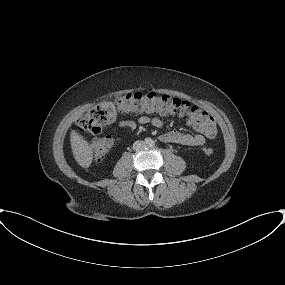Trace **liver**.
I'll list each match as a JSON object with an SVG mask.
<instances>
[{
    "instance_id": "6515ba94",
    "label": "liver",
    "mask_w": 285,
    "mask_h": 285,
    "mask_svg": "<svg viewBox=\"0 0 285 285\" xmlns=\"http://www.w3.org/2000/svg\"><path fill=\"white\" fill-rule=\"evenodd\" d=\"M70 142L77 163L83 168H88L93 160V151L88 142L75 130L71 131Z\"/></svg>"
}]
</instances>
